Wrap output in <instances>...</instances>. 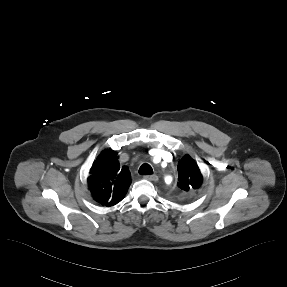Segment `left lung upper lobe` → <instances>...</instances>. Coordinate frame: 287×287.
Listing matches in <instances>:
<instances>
[{
  "mask_svg": "<svg viewBox=\"0 0 287 287\" xmlns=\"http://www.w3.org/2000/svg\"><path fill=\"white\" fill-rule=\"evenodd\" d=\"M178 187L185 192L199 188L202 175L198 165L189 156L185 155L178 163Z\"/></svg>",
  "mask_w": 287,
  "mask_h": 287,
  "instance_id": "left-lung-upper-lobe-1",
  "label": "left lung upper lobe"
}]
</instances>
